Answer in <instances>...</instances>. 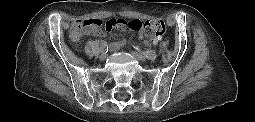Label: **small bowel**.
<instances>
[{
	"label": "small bowel",
	"mask_w": 255,
	"mask_h": 122,
	"mask_svg": "<svg viewBox=\"0 0 255 122\" xmlns=\"http://www.w3.org/2000/svg\"><path fill=\"white\" fill-rule=\"evenodd\" d=\"M118 29L124 30L125 28H118ZM93 34L96 35V36H99V37H104V36L107 35L106 32L101 31V30L96 31V32H93ZM144 36L146 37V40H145L146 43H149V42L157 43L158 40H159V38H150V37H147V36L144 34V32L141 31V32H140V37L143 38ZM123 46H124V42H123V41H116V42H113V43L111 44V48H112L113 50H119V49L122 48Z\"/></svg>",
	"instance_id": "1"
}]
</instances>
